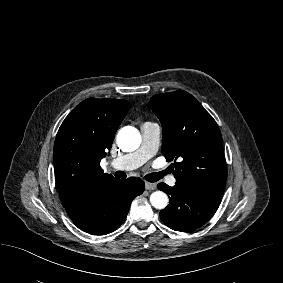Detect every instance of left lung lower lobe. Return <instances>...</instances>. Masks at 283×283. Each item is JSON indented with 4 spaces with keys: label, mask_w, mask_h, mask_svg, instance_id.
<instances>
[{
    "label": "left lung lower lobe",
    "mask_w": 283,
    "mask_h": 283,
    "mask_svg": "<svg viewBox=\"0 0 283 283\" xmlns=\"http://www.w3.org/2000/svg\"><path fill=\"white\" fill-rule=\"evenodd\" d=\"M157 187L170 196V204L160 212V217L165 225L176 231L188 232L204 225L221 201L178 181L174 187L164 183H159Z\"/></svg>",
    "instance_id": "0a47b994"
}]
</instances>
